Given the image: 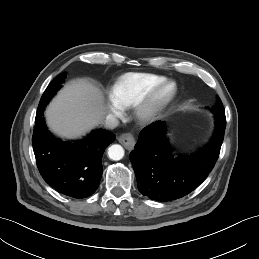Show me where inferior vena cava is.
Returning <instances> with one entry per match:
<instances>
[{"mask_svg": "<svg viewBox=\"0 0 259 259\" xmlns=\"http://www.w3.org/2000/svg\"><path fill=\"white\" fill-rule=\"evenodd\" d=\"M105 125L106 127L113 129L119 125V120L113 115H108L105 120Z\"/></svg>", "mask_w": 259, "mask_h": 259, "instance_id": "602c4592", "label": "inferior vena cava"}]
</instances>
